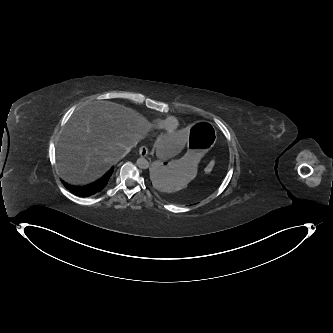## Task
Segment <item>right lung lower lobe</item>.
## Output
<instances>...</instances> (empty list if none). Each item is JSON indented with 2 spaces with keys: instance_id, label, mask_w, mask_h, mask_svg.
Instances as JSON below:
<instances>
[{
  "instance_id": "1",
  "label": "right lung lower lobe",
  "mask_w": 333,
  "mask_h": 333,
  "mask_svg": "<svg viewBox=\"0 0 333 333\" xmlns=\"http://www.w3.org/2000/svg\"><path fill=\"white\" fill-rule=\"evenodd\" d=\"M112 173H113V168H111L101 180L88 186L78 187V186L68 185L64 182L63 183L65 187L75 195L80 197H88L101 192L106 187Z\"/></svg>"
}]
</instances>
